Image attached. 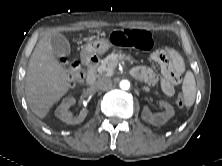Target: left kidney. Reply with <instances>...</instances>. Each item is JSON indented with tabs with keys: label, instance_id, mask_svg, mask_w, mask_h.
Listing matches in <instances>:
<instances>
[{
	"label": "left kidney",
	"instance_id": "5707ae66",
	"mask_svg": "<svg viewBox=\"0 0 222 166\" xmlns=\"http://www.w3.org/2000/svg\"><path fill=\"white\" fill-rule=\"evenodd\" d=\"M159 104L165 108V112L152 114L148 107H144L142 111V119L155 126H161L174 116V108L169 103L165 101H159Z\"/></svg>",
	"mask_w": 222,
	"mask_h": 166
}]
</instances>
